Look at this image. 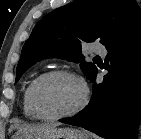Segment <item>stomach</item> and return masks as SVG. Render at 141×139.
I'll return each mask as SVG.
<instances>
[{
    "label": "stomach",
    "mask_w": 141,
    "mask_h": 139,
    "mask_svg": "<svg viewBox=\"0 0 141 139\" xmlns=\"http://www.w3.org/2000/svg\"><path fill=\"white\" fill-rule=\"evenodd\" d=\"M13 139H91V136L80 129L47 127L16 134Z\"/></svg>",
    "instance_id": "1"
}]
</instances>
